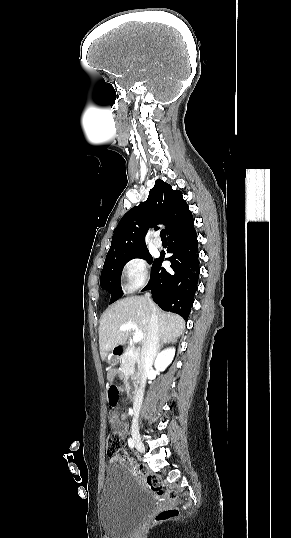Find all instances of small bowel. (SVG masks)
Instances as JSON below:
<instances>
[{"instance_id":"small-bowel-1","label":"small bowel","mask_w":291,"mask_h":538,"mask_svg":"<svg viewBox=\"0 0 291 538\" xmlns=\"http://www.w3.org/2000/svg\"><path fill=\"white\" fill-rule=\"evenodd\" d=\"M119 377H121V375L119 374L117 370L110 371L108 374V383L110 386H116L118 388V391L121 392L122 389L119 388L116 383V379ZM109 418L115 431L123 438L127 433V426L122 421L123 419L126 418V415L125 414L118 415V413L112 412ZM110 462L111 463L121 462L129 466L131 465L130 459L127 454L112 456L110 457Z\"/></svg>"}]
</instances>
